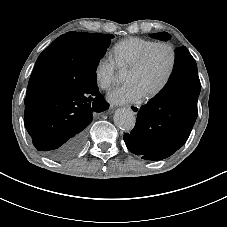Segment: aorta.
<instances>
[{
    "label": "aorta",
    "instance_id": "aorta-1",
    "mask_svg": "<svg viewBox=\"0 0 227 227\" xmlns=\"http://www.w3.org/2000/svg\"><path fill=\"white\" fill-rule=\"evenodd\" d=\"M113 120L118 128L125 131H131L134 128L136 122L133 111L126 108L116 110Z\"/></svg>",
    "mask_w": 227,
    "mask_h": 227
}]
</instances>
